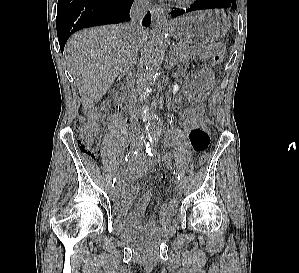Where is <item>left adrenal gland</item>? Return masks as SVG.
Instances as JSON below:
<instances>
[{
	"label": "left adrenal gland",
	"mask_w": 299,
	"mask_h": 273,
	"mask_svg": "<svg viewBox=\"0 0 299 273\" xmlns=\"http://www.w3.org/2000/svg\"><path fill=\"white\" fill-rule=\"evenodd\" d=\"M167 59H168L167 67L168 68L174 67L175 66V60H174V58L172 56V50H171V53L169 54V56H168Z\"/></svg>",
	"instance_id": "a2214340"
}]
</instances>
